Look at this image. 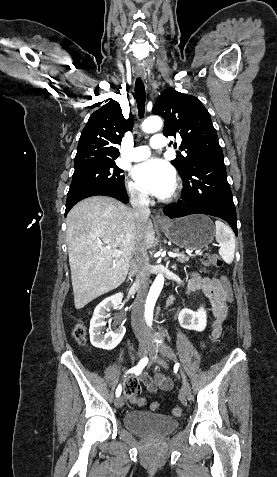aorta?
<instances>
[{
	"label": "aorta",
	"mask_w": 277,
	"mask_h": 477,
	"mask_svg": "<svg viewBox=\"0 0 277 477\" xmlns=\"http://www.w3.org/2000/svg\"><path fill=\"white\" fill-rule=\"evenodd\" d=\"M163 122L158 116H151L142 123V130L147 133L156 132L161 129ZM164 285V277L159 274L154 280L144 306V316L146 322L151 325L153 321V311L155 303Z\"/></svg>",
	"instance_id": "762f6f07"
}]
</instances>
